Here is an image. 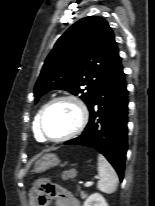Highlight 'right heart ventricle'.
I'll return each instance as SVG.
<instances>
[{
    "instance_id": "1",
    "label": "right heart ventricle",
    "mask_w": 155,
    "mask_h": 206,
    "mask_svg": "<svg viewBox=\"0 0 155 206\" xmlns=\"http://www.w3.org/2000/svg\"><path fill=\"white\" fill-rule=\"evenodd\" d=\"M45 106V104L44 105H42L39 109H38V111H37V113H36V115H35V118H34V122H33V132H34V135H35V138L38 140V141H44L42 138H41V136H40V134H39V132H38V119H39V115H40V113H41V111H42V109H43V107Z\"/></svg>"
}]
</instances>
